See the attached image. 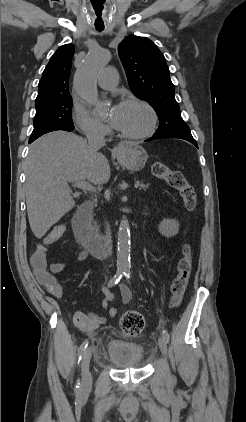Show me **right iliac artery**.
<instances>
[{"label": "right iliac artery", "instance_id": "1", "mask_svg": "<svg viewBox=\"0 0 246 422\" xmlns=\"http://www.w3.org/2000/svg\"><path fill=\"white\" fill-rule=\"evenodd\" d=\"M123 275H124V270L118 269L117 272H116V274L114 275V277L112 279H110V281L108 283V287H112L113 285L117 284L120 281V279L122 278ZM87 346H88V340L86 339L81 344V346L79 348V358H78L79 362L82 359ZM75 388H76L77 391L80 389V383H79V381L76 384Z\"/></svg>", "mask_w": 246, "mask_h": 422}]
</instances>
